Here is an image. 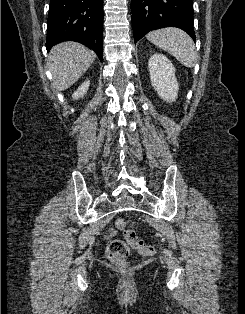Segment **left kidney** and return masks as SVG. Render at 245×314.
<instances>
[{"mask_svg":"<svg viewBox=\"0 0 245 314\" xmlns=\"http://www.w3.org/2000/svg\"><path fill=\"white\" fill-rule=\"evenodd\" d=\"M151 85L159 97L172 103L178 97L179 84L175 77V68L170 60L162 54L151 55L148 61Z\"/></svg>","mask_w":245,"mask_h":314,"instance_id":"5707ae66","label":"left kidney"}]
</instances>
